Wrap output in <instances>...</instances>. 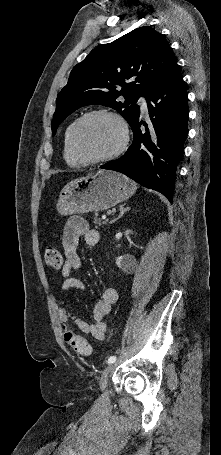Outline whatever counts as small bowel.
Instances as JSON below:
<instances>
[{
	"instance_id": "c3829d8e",
	"label": "small bowel",
	"mask_w": 221,
	"mask_h": 455,
	"mask_svg": "<svg viewBox=\"0 0 221 455\" xmlns=\"http://www.w3.org/2000/svg\"><path fill=\"white\" fill-rule=\"evenodd\" d=\"M81 239L87 246H96L100 241V233L91 229L88 223L80 217L69 219L64 227L62 235V246L64 249L65 261L62 267L64 277L62 290L69 292L72 289L84 290L83 282L72 273L81 267V259L77 249ZM118 299L116 288L109 286L102 292V297L93 308V323L86 322L65 308L58 310V318L61 323L68 324L74 322L81 332L92 336L96 340H104L107 332V325L104 318L110 313L111 307Z\"/></svg>"
}]
</instances>
